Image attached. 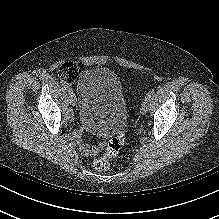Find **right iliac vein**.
Here are the masks:
<instances>
[{"label": "right iliac vein", "mask_w": 219, "mask_h": 219, "mask_svg": "<svg viewBox=\"0 0 219 219\" xmlns=\"http://www.w3.org/2000/svg\"><path fill=\"white\" fill-rule=\"evenodd\" d=\"M70 104H71L72 106H75V104H76V97H75V95L73 94V92L70 94Z\"/></svg>", "instance_id": "obj_1"}]
</instances>
